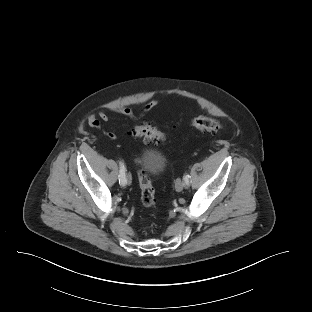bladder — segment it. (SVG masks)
<instances>
[{
  "label": "bladder",
  "mask_w": 312,
  "mask_h": 312,
  "mask_svg": "<svg viewBox=\"0 0 312 312\" xmlns=\"http://www.w3.org/2000/svg\"><path fill=\"white\" fill-rule=\"evenodd\" d=\"M140 165L145 173L159 175L166 167L165 155L155 149H147L142 153Z\"/></svg>",
  "instance_id": "bladder-1"
}]
</instances>
